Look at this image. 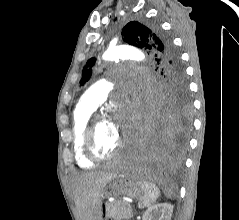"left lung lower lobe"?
Masks as SVG:
<instances>
[{
	"label": "left lung lower lobe",
	"instance_id": "0a47b994",
	"mask_svg": "<svg viewBox=\"0 0 239 220\" xmlns=\"http://www.w3.org/2000/svg\"><path fill=\"white\" fill-rule=\"evenodd\" d=\"M146 137L132 159L144 173H162L175 168L182 160L186 130L178 128L166 108L159 107L151 116Z\"/></svg>",
	"mask_w": 239,
	"mask_h": 220
}]
</instances>
